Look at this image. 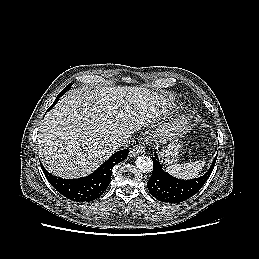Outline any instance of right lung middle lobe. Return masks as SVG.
<instances>
[{"label": "right lung middle lobe", "instance_id": "dd1d6c3e", "mask_svg": "<svg viewBox=\"0 0 259 259\" xmlns=\"http://www.w3.org/2000/svg\"><path fill=\"white\" fill-rule=\"evenodd\" d=\"M71 86H72V83H70L68 86H66V87L63 89V91H61V92L64 94L67 90H69V89L71 88Z\"/></svg>", "mask_w": 259, "mask_h": 259}]
</instances>
